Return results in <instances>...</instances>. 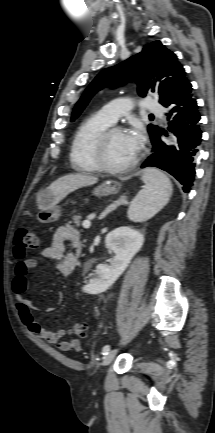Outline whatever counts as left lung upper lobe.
Here are the masks:
<instances>
[{
    "label": "left lung upper lobe",
    "mask_w": 215,
    "mask_h": 433,
    "mask_svg": "<svg viewBox=\"0 0 215 433\" xmlns=\"http://www.w3.org/2000/svg\"><path fill=\"white\" fill-rule=\"evenodd\" d=\"M185 78V71L177 61L176 55L165 48L160 41H154L144 46L143 50L117 66L102 70L85 90L76 104L72 121L86 107L94 94L104 87H116L125 82L135 80L138 93L145 96L155 83L159 85V102L162 103L169 93ZM159 128L150 124L148 132L152 138Z\"/></svg>",
    "instance_id": "1"
}]
</instances>
